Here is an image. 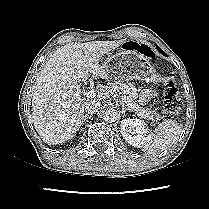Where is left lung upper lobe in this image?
<instances>
[{
  "mask_svg": "<svg viewBox=\"0 0 209 209\" xmlns=\"http://www.w3.org/2000/svg\"><path fill=\"white\" fill-rule=\"evenodd\" d=\"M157 50L161 53L164 54V52L157 46Z\"/></svg>",
  "mask_w": 209,
  "mask_h": 209,
  "instance_id": "1",
  "label": "left lung upper lobe"
}]
</instances>
